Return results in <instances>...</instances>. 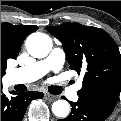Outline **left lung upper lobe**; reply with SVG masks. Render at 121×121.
Masks as SVG:
<instances>
[{
	"label": "left lung upper lobe",
	"mask_w": 121,
	"mask_h": 121,
	"mask_svg": "<svg viewBox=\"0 0 121 121\" xmlns=\"http://www.w3.org/2000/svg\"><path fill=\"white\" fill-rule=\"evenodd\" d=\"M46 29L62 42L70 68L85 72L79 99L111 114L121 91V55L112 37L77 23Z\"/></svg>",
	"instance_id": "5c2ea615"
}]
</instances>
